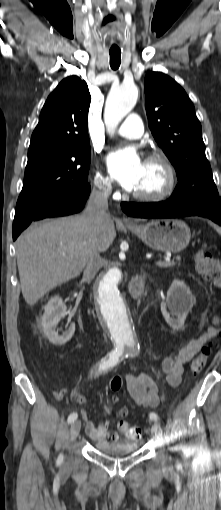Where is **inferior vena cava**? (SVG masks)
Instances as JSON below:
<instances>
[{
    "label": "inferior vena cava",
    "instance_id": "obj_1",
    "mask_svg": "<svg viewBox=\"0 0 221 510\" xmlns=\"http://www.w3.org/2000/svg\"><path fill=\"white\" fill-rule=\"evenodd\" d=\"M110 193L111 187L109 185L92 189L84 211L89 230L99 232L108 225L110 215L107 210ZM101 266L102 258L96 246L91 245L85 254L84 279L91 282Z\"/></svg>",
    "mask_w": 221,
    "mask_h": 510
}]
</instances>
